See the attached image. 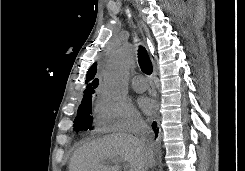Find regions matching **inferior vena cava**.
Wrapping results in <instances>:
<instances>
[{
	"mask_svg": "<svg viewBox=\"0 0 245 171\" xmlns=\"http://www.w3.org/2000/svg\"><path fill=\"white\" fill-rule=\"evenodd\" d=\"M152 130L144 122H140L137 126L136 134L140 141L141 147L144 150L147 158L151 160L153 157V137L151 135ZM147 168L142 169L146 171Z\"/></svg>",
	"mask_w": 245,
	"mask_h": 171,
	"instance_id": "1",
	"label": "inferior vena cava"
}]
</instances>
